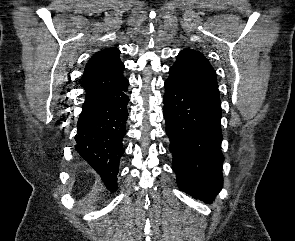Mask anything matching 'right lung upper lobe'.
<instances>
[{"instance_id":"1","label":"right lung upper lobe","mask_w":295,"mask_h":241,"mask_svg":"<svg viewBox=\"0 0 295 241\" xmlns=\"http://www.w3.org/2000/svg\"><path fill=\"white\" fill-rule=\"evenodd\" d=\"M119 54L117 48L111 47L95 53L90 58L82 81L86 94L118 86L126 80L122 75L125 67Z\"/></svg>"}]
</instances>
